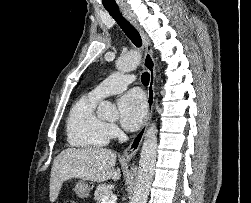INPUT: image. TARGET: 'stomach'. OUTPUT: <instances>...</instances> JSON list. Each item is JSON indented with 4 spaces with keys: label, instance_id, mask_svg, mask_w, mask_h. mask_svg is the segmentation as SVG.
I'll return each mask as SVG.
<instances>
[{
    "label": "stomach",
    "instance_id": "obj_1",
    "mask_svg": "<svg viewBox=\"0 0 251 203\" xmlns=\"http://www.w3.org/2000/svg\"><path fill=\"white\" fill-rule=\"evenodd\" d=\"M69 180H71V179H68L67 181H69ZM74 190L79 198L84 199L89 196L90 191H91V187L86 180L80 179L76 183Z\"/></svg>",
    "mask_w": 251,
    "mask_h": 203
}]
</instances>
